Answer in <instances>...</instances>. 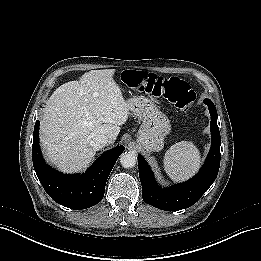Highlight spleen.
Instances as JSON below:
<instances>
[{"label":"spleen","instance_id":"3e777b00","mask_svg":"<svg viewBox=\"0 0 261 261\" xmlns=\"http://www.w3.org/2000/svg\"><path fill=\"white\" fill-rule=\"evenodd\" d=\"M200 163V151L190 141L172 145L164 156V170L173 181H183L192 177Z\"/></svg>","mask_w":261,"mask_h":261}]
</instances>
